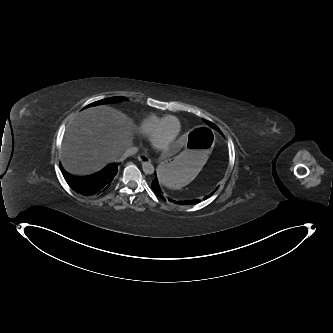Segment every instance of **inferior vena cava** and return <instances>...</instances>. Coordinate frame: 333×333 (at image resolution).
<instances>
[{
	"label": "inferior vena cava",
	"instance_id": "inferior-vena-cava-1",
	"mask_svg": "<svg viewBox=\"0 0 333 333\" xmlns=\"http://www.w3.org/2000/svg\"><path fill=\"white\" fill-rule=\"evenodd\" d=\"M138 152L137 147H129L127 148L124 153H122L120 156H118L115 161L121 162L124 161L127 157L132 156Z\"/></svg>",
	"mask_w": 333,
	"mask_h": 333
}]
</instances>
